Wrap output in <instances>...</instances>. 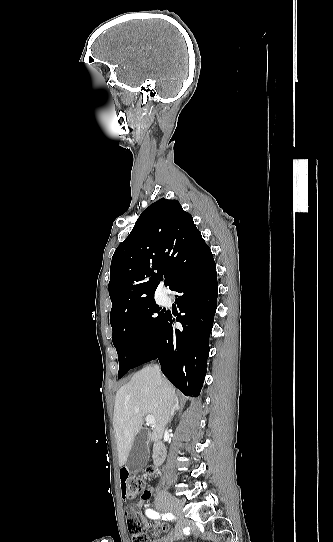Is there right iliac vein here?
I'll return each mask as SVG.
<instances>
[{"label": "right iliac vein", "instance_id": "obj_1", "mask_svg": "<svg viewBox=\"0 0 333 542\" xmlns=\"http://www.w3.org/2000/svg\"><path fill=\"white\" fill-rule=\"evenodd\" d=\"M182 506V503L178 499L174 497H169L167 495L164 496V500L157 503V507L160 510L170 511L177 514L180 518L183 517ZM182 529L183 524L181 523V521H178L174 530V539H181V537L183 536Z\"/></svg>", "mask_w": 333, "mask_h": 542}]
</instances>
